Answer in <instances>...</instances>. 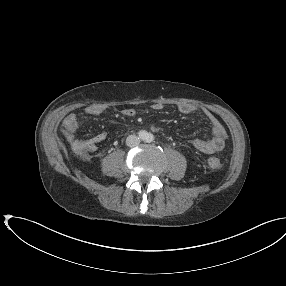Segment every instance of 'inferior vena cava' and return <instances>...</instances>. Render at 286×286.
<instances>
[{"label":"inferior vena cava","mask_w":286,"mask_h":286,"mask_svg":"<svg viewBox=\"0 0 286 286\" xmlns=\"http://www.w3.org/2000/svg\"><path fill=\"white\" fill-rule=\"evenodd\" d=\"M140 143V138L136 135H129L126 139V145L129 147L137 146Z\"/></svg>","instance_id":"1"}]
</instances>
